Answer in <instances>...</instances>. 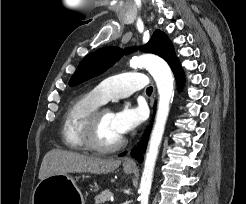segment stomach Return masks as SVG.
I'll list each match as a JSON object with an SVG mask.
<instances>
[{"label": "stomach", "mask_w": 246, "mask_h": 204, "mask_svg": "<svg viewBox=\"0 0 246 204\" xmlns=\"http://www.w3.org/2000/svg\"><path fill=\"white\" fill-rule=\"evenodd\" d=\"M132 171V168H124L126 174ZM83 202L75 179L68 174H56L41 180L32 196V204H83Z\"/></svg>", "instance_id": "stomach-1"}]
</instances>
